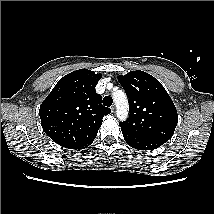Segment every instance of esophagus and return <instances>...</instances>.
Wrapping results in <instances>:
<instances>
[{
  "mask_svg": "<svg viewBox=\"0 0 214 214\" xmlns=\"http://www.w3.org/2000/svg\"><path fill=\"white\" fill-rule=\"evenodd\" d=\"M115 110H116L115 105H112V106H111V112H113V113H114V112H115Z\"/></svg>",
  "mask_w": 214,
  "mask_h": 214,
  "instance_id": "34e87169",
  "label": "esophagus"
}]
</instances>
